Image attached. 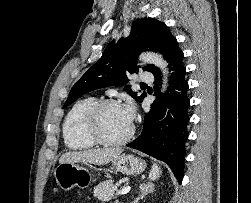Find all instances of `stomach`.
I'll return each instance as SVG.
<instances>
[{"label": "stomach", "mask_w": 251, "mask_h": 203, "mask_svg": "<svg viewBox=\"0 0 251 203\" xmlns=\"http://www.w3.org/2000/svg\"><path fill=\"white\" fill-rule=\"evenodd\" d=\"M146 168V163L130 154H120L112 160V169L126 175L142 173ZM57 185L64 191H69L74 187L87 188L92 183V174L84 164L61 163L54 171Z\"/></svg>", "instance_id": "1"}]
</instances>
